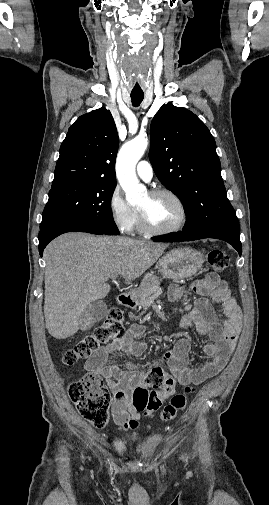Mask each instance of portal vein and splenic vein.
<instances>
[{"label":"portal vein and splenic vein","mask_w":269,"mask_h":505,"mask_svg":"<svg viewBox=\"0 0 269 505\" xmlns=\"http://www.w3.org/2000/svg\"><path fill=\"white\" fill-rule=\"evenodd\" d=\"M117 276H111V279L114 281L116 279Z\"/></svg>","instance_id":"18ae733b"}]
</instances>
